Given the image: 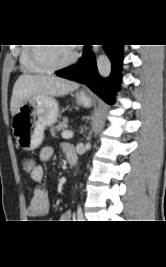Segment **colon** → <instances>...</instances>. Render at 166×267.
I'll return each mask as SVG.
<instances>
[{
    "instance_id": "colon-1",
    "label": "colon",
    "mask_w": 166,
    "mask_h": 267,
    "mask_svg": "<svg viewBox=\"0 0 166 267\" xmlns=\"http://www.w3.org/2000/svg\"><path fill=\"white\" fill-rule=\"evenodd\" d=\"M35 166V161L33 159H27L23 162V168L26 172L32 171Z\"/></svg>"
}]
</instances>
